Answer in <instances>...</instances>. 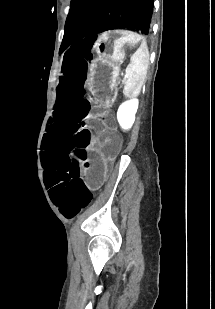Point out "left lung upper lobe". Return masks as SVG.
I'll list each match as a JSON object with an SVG mask.
<instances>
[{
    "instance_id": "obj_1",
    "label": "left lung upper lobe",
    "mask_w": 215,
    "mask_h": 309,
    "mask_svg": "<svg viewBox=\"0 0 215 309\" xmlns=\"http://www.w3.org/2000/svg\"><path fill=\"white\" fill-rule=\"evenodd\" d=\"M153 0H71L60 51L115 28L150 32Z\"/></svg>"
}]
</instances>
